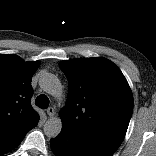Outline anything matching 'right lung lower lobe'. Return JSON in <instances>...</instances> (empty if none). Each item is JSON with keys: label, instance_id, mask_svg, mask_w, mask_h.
<instances>
[{"label": "right lung lower lobe", "instance_id": "right-lung-lower-lobe-1", "mask_svg": "<svg viewBox=\"0 0 156 156\" xmlns=\"http://www.w3.org/2000/svg\"><path fill=\"white\" fill-rule=\"evenodd\" d=\"M12 149H13V148H12ZM12 149H11V150H12ZM2 151H3V150H2ZM9 151H10V150H9ZM7 152H8V151H7ZM5 153H6V152H5ZM2 154H4V151H3V153H2ZM2 154H1V155H2Z\"/></svg>", "mask_w": 156, "mask_h": 156}]
</instances>
